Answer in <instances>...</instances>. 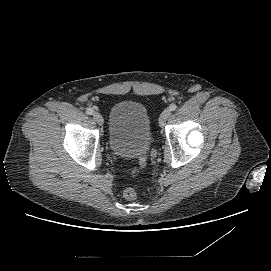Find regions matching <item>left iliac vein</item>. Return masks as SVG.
<instances>
[{
	"instance_id": "obj_1",
	"label": "left iliac vein",
	"mask_w": 271,
	"mask_h": 271,
	"mask_svg": "<svg viewBox=\"0 0 271 271\" xmlns=\"http://www.w3.org/2000/svg\"><path fill=\"white\" fill-rule=\"evenodd\" d=\"M170 115H171V111L169 109H166L161 113V115L159 117V125L161 127H163L165 125V123Z\"/></svg>"
}]
</instances>
